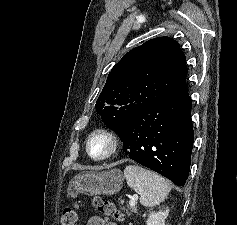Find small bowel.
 Returning <instances> with one entry per match:
<instances>
[{
	"label": "small bowel",
	"mask_w": 237,
	"mask_h": 225,
	"mask_svg": "<svg viewBox=\"0 0 237 225\" xmlns=\"http://www.w3.org/2000/svg\"><path fill=\"white\" fill-rule=\"evenodd\" d=\"M86 225H117V223L108 221L101 216H92L88 219Z\"/></svg>",
	"instance_id": "1"
}]
</instances>
